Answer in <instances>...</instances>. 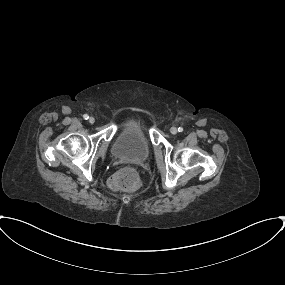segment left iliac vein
Listing matches in <instances>:
<instances>
[{"label": "left iliac vein", "instance_id": "1", "mask_svg": "<svg viewBox=\"0 0 285 285\" xmlns=\"http://www.w3.org/2000/svg\"><path fill=\"white\" fill-rule=\"evenodd\" d=\"M170 132L172 134H176L177 133V128L176 127H171Z\"/></svg>", "mask_w": 285, "mask_h": 285}]
</instances>
